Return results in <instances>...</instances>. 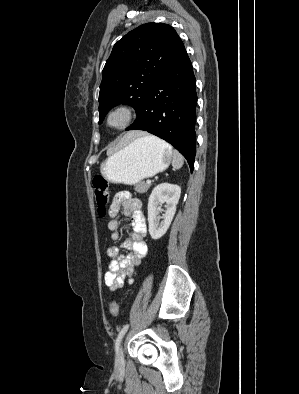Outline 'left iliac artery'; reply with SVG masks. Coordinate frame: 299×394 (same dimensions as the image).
<instances>
[{"instance_id": "44dca946", "label": "left iliac artery", "mask_w": 299, "mask_h": 394, "mask_svg": "<svg viewBox=\"0 0 299 394\" xmlns=\"http://www.w3.org/2000/svg\"><path fill=\"white\" fill-rule=\"evenodd\" d=\"M128 327H129L128 324L124 325L123 328L121 329V331H120L119 334H118V337H117L116 342H115L116 352L118 351L120 342H121V340H122L124 334L126 333Z\"/></svg>"}]
</instances>
